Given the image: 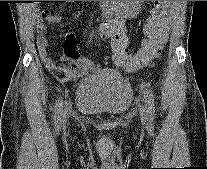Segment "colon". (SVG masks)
Instances as JSON below:
<instances>
[{"mask_svg": "<svg viewBox=\"0 0 207 169\" xmlns=\"http://www.w3.org/2000/svg\"><path fill=\"white\" fill-rule=\"evenodd\" d=\"M170 5L171 1H154L153 8L146 18L143 29L144 39L136 53H128V43L125 40L113 43L117 36L115 32L99 29V42L110 45L114 65L130 72L152 65L153 60L158 57L168 38Z\"/></svg>", "mask_w": 207, "mask_h": 169, "instance_id": "colon-1", "label": "colon"}]
</instances>
